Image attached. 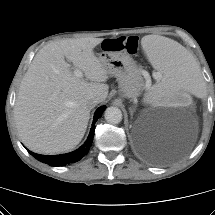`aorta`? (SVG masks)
<instances>
[{
    "mask_svg": "<svg viewBox=\"0 0 215 215\" xmlns=\"http://www.w3.org/2000/svg\"><path fill=\"white\" fill-rule=\"evenodd\" d=\"M104 116L110 124H118L122 121V112L118 107H108L105 110Z\"/></svg>",
    "mask_w": 215,
    "mask_h": 215,
    "instance_id": "762f6f07",
    "label": "aorta"
}]
</instances>
